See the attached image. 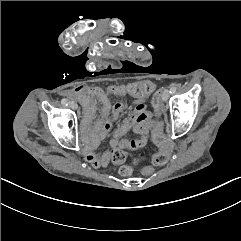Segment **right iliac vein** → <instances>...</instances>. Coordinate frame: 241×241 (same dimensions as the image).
<instances>
[{
  "label": "right iliac vein",
  "mask_w": 241,
  "mask_h": 241,
  "mask_svg": "<svg viewBox=\"0 0 241 241\" xmlns=\"http://www.w3.org/2000/svg\"><path fill=\"white\" fill-rule=\"evenodd\" d=\"M69 105H70V107L73 108V109H77V108H78L77 104H76L74 101H70V102H69Z\"/></svg>",
  "instance_id": "1"
}]
</instances>
